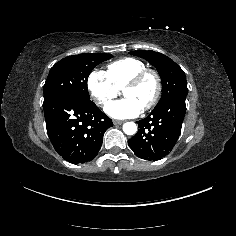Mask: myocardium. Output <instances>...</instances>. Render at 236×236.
I'll return each instance as SVG.
<instances>
[{"label": "myocardium", "mask_w": 236, "mask_h": 236, "mask_svg": "<svg viewBox=\"0 0 236 236\" xmlns=\"http://www.w3.org/2000/svg\"><path fill=\"white\" fill-rule=\"evenodd\" d=\"M146 77H151L153 79L155 88L150 101L143 108L144 111L151 109L158 102L160 98L162 91V84L159 74L155 70L145 68L134 74L130 79H128V81L124 84L122 89L125 90L127 88L136 86Z\"/></svg>", "instance_id": "f54148a6"}]
</instances>
